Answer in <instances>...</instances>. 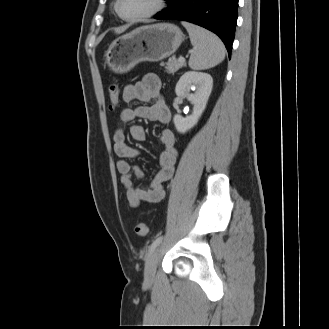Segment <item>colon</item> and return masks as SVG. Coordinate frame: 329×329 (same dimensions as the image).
I'll use <instances>...</instances> for the list:
<instances>
[{
  "label": "colon",
  "instance_id": "5ec220e1",
  "mask_svg": "<svg viewBox=\"0 0 329 329\" xmlns=\"http://www.w3.org/2000/svg\"><path fill=\"white\" fill-rule=\"evenodd\" d=\"M109 100L111 109H116L120 105V89L116 82H112L108 86ZM135 233L144 237L149 234V228L144 222H138L135 226Z\"/></svg>",
  "mask_w": 329,
  "mask_h": 329
}]
</instances>
